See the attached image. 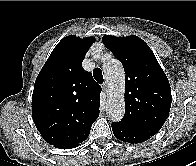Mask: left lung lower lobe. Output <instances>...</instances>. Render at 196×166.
<instances>
[{
  "label": "left lung lower lobe",
  "mask_w": 196,
  "mask_h": 166,
  "mask_svg": "<svg viewBox=\"0 0 196 166\" xmlns=\"http://www.w3.org/2000/svg\"><path fill=\"white\" fill-rule=\"evenodd\" d=\"M111 126L115 137L127 143H142L151 137L148 135L135 132L129 129L128 127L124 126L120 122H113Z\"/></svg>",
  "instance_id": "left-lung-lower-lobe-1"
}]
</instances>
